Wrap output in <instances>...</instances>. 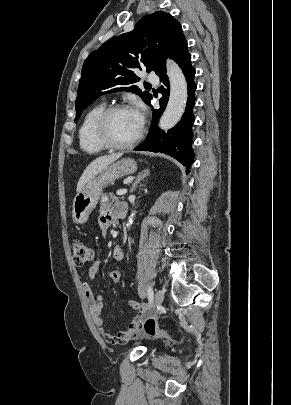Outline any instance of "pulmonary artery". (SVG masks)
<instances>
[{"instance_id": "obj_1", "label": "pulmonary artery", "mask_w": 291, "mask_h": 405, "mask_svg": "<svg viewBox=\"0 0 291 405\" xmlns=\"http://www.w3.org/2000/svg\"><path fill=\"white\" fill-rule=\"evenodd\" d=\"M147 80H148L149 82H152V83H154V84H157L158 81H159V78H158V76H157L156 74H154V73H149V74L147 75Z\"/></svg>"}]
</instances>
